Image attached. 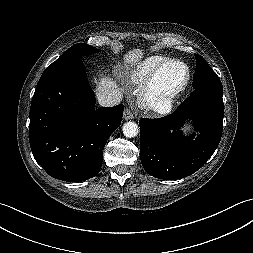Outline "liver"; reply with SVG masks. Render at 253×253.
<instances>
[{
    "mask_svg": "<svg viewBox=\"0 0 253 253\" xmlns=\"http://www.w3.org/2000/svg\"><path fill=\"white\" fill-rule=\"evenodd\" d=\"M143 52L140 49H135L130 51L127 55H125V60L128 64L137 63L142 58ZM107 90H118L120 88L110 77H103L101 81L96 86L97 93L107 91Z\"/></svg>",
    "mask_w": 253,
    "mask_h": 253,
    "instance_id": "6515ba94",
    "label": "liver"
}]
</instances>
